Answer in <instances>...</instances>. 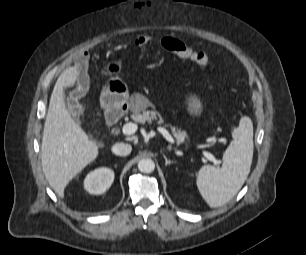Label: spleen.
Segmentation results:
<instances>
[{
	"label": "spleen",
	"mask_w": 306,
	"mask_h": 255,
	"mask_svg": "<svg viewBox=\"0 0 306 255\" xmlns=\"http://www.w3.org/2000/svg\"><path fill=\"white\" fill-rule=\"evenodd\" d=\"M234 143L223 154L221 168L204 165L197 174L196 184L211 208L223 206L241 189L250 173L253 158V124L248 116L240 119L232 132Z\"/></svg>",
	"instance_id": "spleen-1"
}]
</instances>
